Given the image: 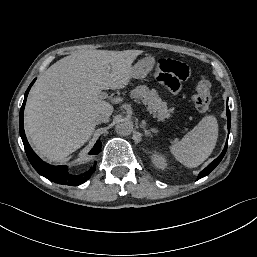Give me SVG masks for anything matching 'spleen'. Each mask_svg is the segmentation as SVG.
<instances>
[{
	"mask_svg": "<svg viewBox=\"0 0 257 257\" xmlns=\"http://www.w3.org/2000/svg\"><path fill=\"white\" fill-rule=\"evenodd\" d=\"M217 138V119L205 116L180 142L170 146V152L184 166L195 168L211 155Z\"/></svg>",
	"mask_w": 257,
	"mask_h": 257,
	"instance_id": "3e777b00",
	"label": "spleen"
}]
</instances>
